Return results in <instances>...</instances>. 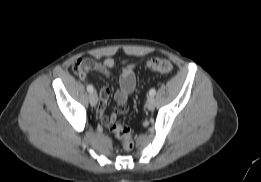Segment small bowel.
I'll return each mask as SVG.
<instances>
[{"label":"small bowel","mask_w":261,"mask_h":182,"mask_svg":"<svg viewBox=\"0 0 261 182\" xmlns=\"http://www.w3.org/2000/svg\"><path fill=\"white\" fill-rule=\"evenodd\" d=\"M144 58L141 59L143 61ZM89 70H95L103 75H108L111 70L118 67V64L111 58L104 59L103 61H95L92 59H84ZM139 62H125L121 67V74L119 80V88L115 92L114 98L117 102L115 112L106 114V106L110 98L111 91L108 87H102L99 94V104L97 107L98 120L107 125L115 120L117 114H124L127 112V100L130 94L135 89V75L134 69L138 66ZM83 80L86 77H82Z\"/></svg>","instance_id":"1"}]
</instances>
